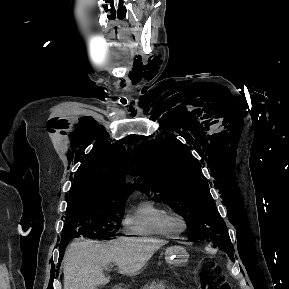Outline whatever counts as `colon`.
I'll return each mask as SVG.
<instances>
[{
	"instance_id": "1",
	"label": "colon",
	"mask_w": 289,
	"mask_h": 289,
	"mask_svg": "<svg viewBox=\"0 0 289 289\" xmlns=\"http://www.w3.org/2000/svg\"><path fill=\"white\" fill-rule=\"evenodd\" d=\"M197 282L202 289H231L229 283L221 279L213 264H206L198 271Z\"/></svg>"
}]
</instances>
